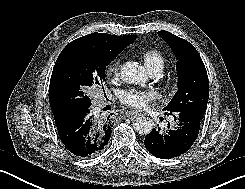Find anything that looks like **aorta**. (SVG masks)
I'll use <instances>...</instances> for the list:
<instances>
[{
	"label": "aorta",
	"mask_w": 245,
	"mask_h": 189,
	"mask_svg": "<svg viewBox=\"0 0 245 189\" xmlns=\"http://www.w3.org/2000/svg\"><path fill=\"white\" fill-rule=\"evenodd\" d=\"M121 78L131 84H145L147 74L144 68L137 62H126L121 67ZM134 130L141 134L147 135L153 128L152 121L147 117H137L133 123Z\"/></svg>",
	"instance_id": "obj_1"
}]
</instances>
